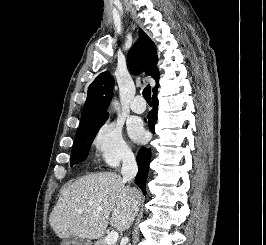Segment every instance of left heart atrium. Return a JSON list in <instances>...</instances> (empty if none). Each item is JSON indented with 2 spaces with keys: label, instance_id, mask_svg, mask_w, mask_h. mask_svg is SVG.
<instances>
[{
  "label": "left heart atrium",
  "instance_id": "left-heart-atrium-1",
  "mask_svg": "<svg viewBox=\"0 0 266 245\" xmlns=\"http://www.w3.org/2000/svg\"><path fill=\"white\" fill-rule=\"evenodd\" d=\"M127 129H128V134L132 140L136 142H140L143 140L145 136V130L140 121L133 120L129 122Z\"/></svg>",
  "mask_w": 266,
  "mask_h": 245
}]
</instances>
